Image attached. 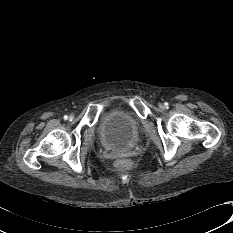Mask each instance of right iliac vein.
I'll list each match as a JSON object with an SVG mask.
<instances>
[{
	"instance_id": "63e3f726",
	"label": "right iliac vein",
	"mask_w": 233,
	"mask_h": 233,
	"mask_svg": "<svg viewBox=\"0 0 233 233\" xmlns=\"http://www.w3.org/2000/svg\"><path fill=\"white\" fill-rule=\"evenodd\" d=\"M69 119L72 120V119H73V116L71 115V116L69 117Z\"/></svg>"
}]
</instances>
